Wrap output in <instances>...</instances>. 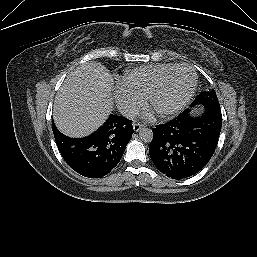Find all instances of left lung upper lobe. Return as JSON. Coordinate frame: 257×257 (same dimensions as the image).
Returning <instances> with one entry per match:
<instances>
[{"instance_id":"left-lung-upper-lobe-1","label":"left lung upper lobe","mask_w":257,"mask_h":257,"mask_svg":"<svg viewBox=\"0 0 257 257\" xmlns=\"http://www.w3.org/2000/svg\"><path fill=\"white\" fill-rule=\"evenodd\" d=\"M203 105V106H217L220 107L216 92L209 89L208 91L201 92L195 99L194 105Z\"/></svg>"}]
</instances>
